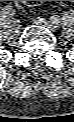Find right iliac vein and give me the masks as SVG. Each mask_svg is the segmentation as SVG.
<instances>
[{
    "instance_id": "right-iliac-vein-1",
    "label": "right iliac vein",
    "mask_w": 74,
    "mask_h": 122,
    "mask_svg": "<svg viewBox=\"0 0 74 122\" xmlns=\"http://www.w3.org/2000/svg\"><path fill=\"white\" fill-rule=\"evenodd\" d=\"M13 28L16 32L21 30V22L19 20H14L12 22Z\"/></svg>"
}]
</instances>
